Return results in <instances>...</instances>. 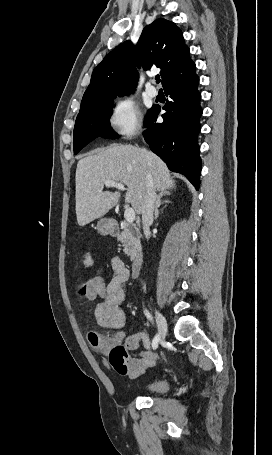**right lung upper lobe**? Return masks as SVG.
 <instances>
[{
  "mask_svg": "<svg viewBox=\"0 0 272 455\" xmlns=\"http://www.w3.org/2000/svg\"><path fill=\"white\" fill-rule=\"evenodd\" d=\"M189 53L182 32L173 22L162 18L155 20L143 29L136 46L126 41L97 65L79 113L112 101L117 95L133 92L138 80L136 63L144 70L153 66L161 68L164 87L185 77L195 70Z\"/></svg>",
  "mask_w": 272,
  "mask_h": 455,
  "instance_id": "1",
  "label": "right lung upper lobe"
}]
</instances>
